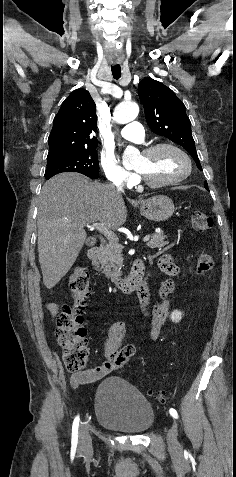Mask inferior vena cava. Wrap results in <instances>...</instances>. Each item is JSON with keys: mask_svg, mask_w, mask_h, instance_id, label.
<instances>
[{"mask_svg": "<svg viewBox=\"0 0 236 477\" xmlns=\"http://www.w3.org/2000/svg\"><path fill=\"white\" fill-rule=\"evenodd\" d=\"M116 188H117V191H118L119 193L123 192V186H122V184H116Z\"/></svg>", "mask_w": 236, "mask_h": 477, "instance_id": "602c4592", "label": "inferior vena cava"}]
</instances>
